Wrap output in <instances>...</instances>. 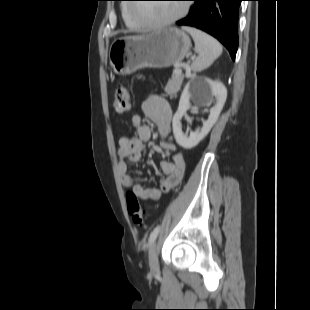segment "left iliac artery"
Wrapping results in <instances>:
<instances>
[{
    "label": "left iliac artery",
    "mask_w": 310,
    "mask_h": 310,
    "mask_svg": "<svg viewBox=\"0 0 310 310\" xmlns=\"http://www.w3.org/2000/svg\"><path fill=\"white\" fill-rule=\"evenodd\" d=\"M159 231H160V227H159V226H156V227L153 229V231L151 232L150 237H149V241H148V242H149V245H151V244L155 241V239H156V237H157Z\"/></svg>",
    "instance_id": "1"
}]
</instances>
